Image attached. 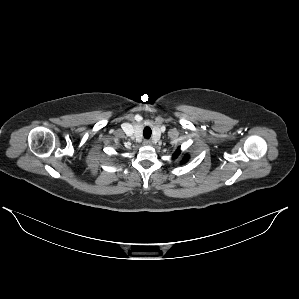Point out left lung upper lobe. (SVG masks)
Instances as JSON below:
<instances>
[{
    "instance_id": "left-lung-upper-lobe-1",
    "label": "left lung upper lobe",
    "mask_w": 299,
    "mask_h": 299,
    "mask_svg": "<svg viewBox=\"0 0 299 299\" xmlns=\"http://www.w3.org/2000/svg\"><path fill=\"white\" fill-rule=\"evenodd\" d=\"M181 151H180V147L176 150V152L173 155V158H177L180 155ZM188 156H185L184 159L182 160L181 163H184L188 160Z\"/></svg>"
}]
</instances>
